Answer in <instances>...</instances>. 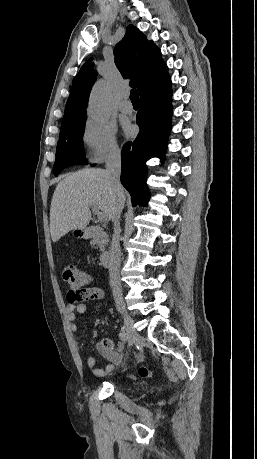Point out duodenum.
Listing matches in <instances>:
<instances>
[{"instance_id": "obj_1", "label": "duodenum", "mask_w": 257, "mask_h": 459, "mask_svg": "<svg viewBox=\"0 0 257 459\" xmlns=\"http://www.w3.org/2000/svg\"><path fill=\"white\" fill-rule=\"evenodd\" d=\"M80 236L84 238L97 237L101 240L103 244V251L99 257V263L101 266L106 267L109 264L110 255L108 252V247L110 245V239L101 228L97 226H88L83 230L79 231Z\"/></svg>"}]
</instances>
